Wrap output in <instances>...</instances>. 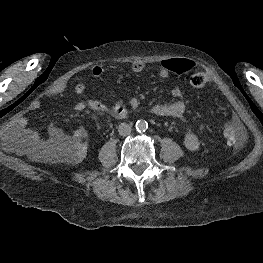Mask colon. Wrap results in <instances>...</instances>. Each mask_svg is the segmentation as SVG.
Wrapping results in <instances>:
<instances>
[{"mask_svg":"<svg viewBox=\"0 0 263 263\" xmlns=\"http://www.w3.org/2000/svg\"><path fill=\"white\" fill-rule=\"evenodd\" d=\"M165 65L175 74L181 75L187 73L189 70V64L181 58H173L168 60ZM190 84L195 88H204L212 84L210 77L203 72L195 73L190 78ZM224 137L229 145L234 147H241L246 139L245 132L240 124L235 122H229L224 129ZM83 141L69 140L62 144L59 148H56L51 156L62 157L65 159H78L84 153Z\"/></svg>","mask_w":263,"mask_h":263,"instance_id":"obj_1","label":"colon"}]
</instances>
